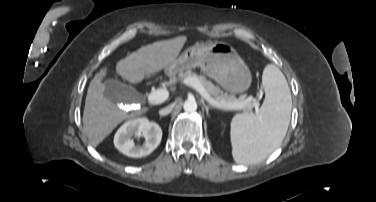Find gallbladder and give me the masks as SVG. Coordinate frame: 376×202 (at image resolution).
<instances>
[{
	"label": "gallbladder",
	"instance_id": "gallbladder-1",
	"mask_svg": "<svg viewBox=\"0 0 376 202\" xmlns=\"http://www.w3.org/2000/svg\"><path fill=\"white\" fill-rule=\"evenodd\" d=\"M103 95L108 100L115 103L130 104L136 102L138 92L135 88L123 84L118 80L108 79L104 82Z\"/></svg>",
	"mask_w": 376,
	"mask_h": 202
}]
</instances>
